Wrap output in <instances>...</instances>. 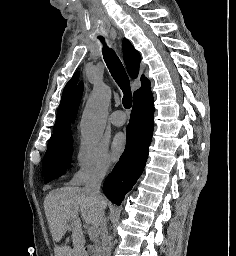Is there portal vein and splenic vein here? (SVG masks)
Segmentation results:
<instances>
[{
  "instance_id": "obj_1",
  "label": "portal vein and splenic vein",
  "mask_w": 236,
  "mask_h": 256,
  "mask_svg": "<svg viewBox=\"0 0 236 256\" xmlns=\"http://www.w3.org/2000/svg\"><path fill=\"white\" fill-rule=\"evenodd\" d=\"M89 234H91V236H96L97 232H95L94 228H90Z\"/></svg>"
}]
</instances>
